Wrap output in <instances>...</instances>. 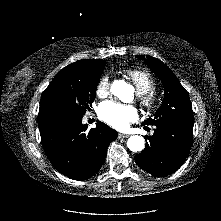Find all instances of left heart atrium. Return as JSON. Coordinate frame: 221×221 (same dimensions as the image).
<instances>
[{
  "label": "left heart atrium",
  "instance_id": "1",
  "mask_svg": "<svg viewBox=\"0 0 221 221\" xmlns=\"http://www.w3.org/2000/svg\"><path fill=\"white\" fill-rule=\"evenodd\" d=\"M99 115L103 121L118 130L126 129L138 116L134 107L111 101L100 105Z\"/></svg>",
  "mask_w": 221,
  "mask_h": 221
}]
</instances>
